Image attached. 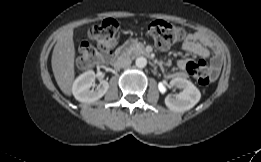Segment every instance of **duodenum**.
I'll return each instance as SVG.
<instances>
[{
  "label": "duodenum",
  "instance_id": "duodenum-1",
  "mask_svg": "<svg viewBox=\"0 0 261 162\" xmlns=\"http://www.w3.org/2000/svg\"><path fill=\"white\" fill-rule=\"evenodd\" d=\"M129 51L131 54L133 55H138V56H143V57H148V53L141 48H137V47H130ZM119 54H114V53H109L106 56H104V64L105 65H111V66H115L117 65V63L120 61L118 59Z\"/></svg>",
  "mask_w": 261,
  "mask_h": 162
}]
</instances>
